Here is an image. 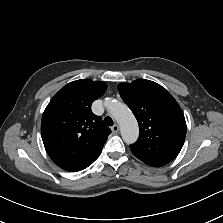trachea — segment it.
Listing matches in <instances>:
<instances>
[{"mask_svg": "<svg viewBox=\"0 0 223 223\" xmlns=\"http://www.w3.org/2000/svg\"><path fill=\"white\" fill-rule=\"evenodd\" d=\"M104 124H105L106 126H112V125H113V120H112V118L109 117V116L105 117V119H104Z\"/></svg>", "mask_w": 223, "mask_h": 223, "instance_id": "1", "label": "trachea"}]
</instances>
